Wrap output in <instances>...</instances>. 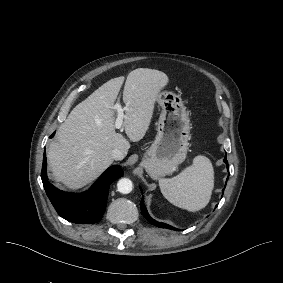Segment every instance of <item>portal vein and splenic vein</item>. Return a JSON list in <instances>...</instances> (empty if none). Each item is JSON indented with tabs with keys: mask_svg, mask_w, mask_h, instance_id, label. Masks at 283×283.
Instances as JSON below:
<instances>
[{
	"mask_svg": "<svg viewBox=\"0 0 283 283\" xmlns=\"http://www.w3.org/2000/svg\"><path fill=\"white\" fill-rule=\"evenodd\" d=\"M112 109L117 110V118H116V121H115V128H116V129H120L121 126H122V123H123V119H124V117H125V115H124V110H123L121 104H119V103H116V104L112 107Z\"/></svg>",
	"mask_w": 283,
	"mask_h": 283,
	"instance_id": "obj_1",
	"label": "portal vein and splenic vein"
}]
</instances>
